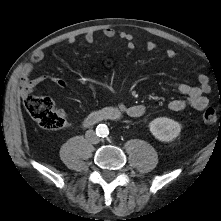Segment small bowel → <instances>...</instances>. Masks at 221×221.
I'll return each mask as SVG.
<instances>
[{"instance_id": "c3829d8e", "label": "small bowel", "mask_w": 221, "mask_h": 221, "mask_svg": "<svg viewBox=\"0 0 221 221\" xmlns=\"http://www.w3.org/2000/svg\"><path fill=\"white\" fill-rule=\"evenodd\" d=\"M102 35L106 38L112 39L116 37V31L111 27H105L102 29ZM120 38L126 42L127 48L132 50L135 48V37L129 33H121ZM84 40L88 44H92L96 40V34L94 32H87L84 35ZM70 44L75 42L74 37L68 39ZM145 48L148 51H155L158 49V45L154 41H148L145 44ZM165 55L169 59H174L177 53L174 49H167ZM44 54L42 51H37L31 58L29 63H26L21 72L20 85L21 94L24 98L31 94V92L45 81H50L59 88H64L66 82L56 76L41 75L35 78H31L34 70V65L42 61ZM198 85H190L185 82H179L176 84L177 91L184 95V98L173 99L169 103V109L174 112H179L187 107H192L195 110H204L209 103L206 96L210 87L209 80L206 74L199 73L197 75ZM119 109L132 118L141 117L145 113V106L142 104L126 105L124 103L119 104ZM61 115L64 116V112L61 111Z\"/></svg>"}]
</instances>
